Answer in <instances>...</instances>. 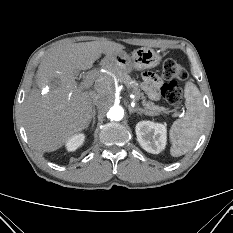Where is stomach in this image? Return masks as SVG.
I'll return each instance as SVG.
<instances>
[{
    "label": "stomach",
    "instance_id": "obj_1",
    "mask_svg": "<svg viewBox=\"0 0 233 233\" xmlns=\"http://www.w3.org/2000/svg\"><path fill=\"white\" fill-rule=\"evenodd\" d=\"M159 53L151 48L143 47L134 50L131 54L125 51L119 52L113 56H106L105 63L124 72L135 70H145L157 66L161 61Z\"/></svg>",
    "mask_w": 233,
    "mask_h": 233
}]
</instances>
